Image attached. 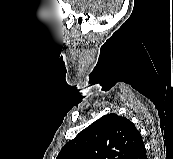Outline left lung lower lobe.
I'll return each instance as SVG.
<instances>
[{"label": "left lung lower lobe", "instance_id": "0a47b994", "mask_svg": "<svg viewBox=\"0 0 173 159\" xmlns=\"http://www.w3.org/2000/svg\"><path fill=\"white\" fill-rule=\"evenodd\" d=\"M130 159H147L144 143L139 147L135 154Z\"/></svg>", "mask_w": 173, "mask_h": 159}]
</instances>
